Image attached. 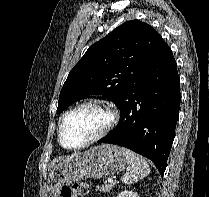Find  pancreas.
<instances>
[{
    "mask_svg": "<svg viewBox=\"0 0 209 197\" xmlns=\"http://www.w3.org/2000/svg\"><path fill=\"white\" fill-rule=\"evenodd\" d=\"M114 183L110 184L107 182H104L102 186H97V191L103 192V193H109L111 189L114 187Z\"/></svg>",
    "mask_w": 209,
    "mask_h": 197,
    "instance_id": "pancreas-1",
    "label": "pancreas"
}]
</instances>
